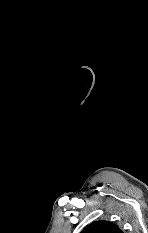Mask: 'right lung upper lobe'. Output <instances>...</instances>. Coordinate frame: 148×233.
I'll return each mask as SVG.
<instances>
[{"label": "right lung upper lobe", "instance_id": "1", "mask_svg": "<svg viewBox=\"0 0 148 233\" xmlns=\"http://www.w3.org/2000/svg\"><path fill=\"white\" fill-rule=\"evenodd\" d=\"M81 233H123V231L117 225L101 220L88 225Z\"/></svg>", "mask_w": 148, "mask_h": 233}]
</instances>
